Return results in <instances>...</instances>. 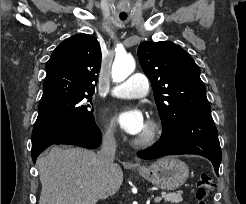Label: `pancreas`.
<instances>
[{
	"label": "pancreas",
	"instance_id": "pancreas-1",
	"mask_svg": "<svg viewBox=\"0 0 246 204\" xmlns=\"http://www.w3.org/2000/svg\"><path fill=\"white\" fill-rule=\"evenodd\" d=\"M161 194L165 201H168L171 203H180L181 201H183V198L180 193L162 192Z\"/></svg>",
	"mask_w": 246,
	"mask_h": 204
}]
</instances>
